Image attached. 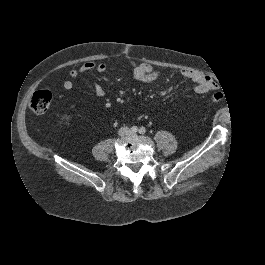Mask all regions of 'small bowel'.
<instances>
[{
	"label": "small bowel",
	"instance_id": "small-bowel-1",
	"mask_svg": "<svg viewBox=\"0 0 265 265\" xmlns=\"http://www.w3.org/2000/svg\"><path fill=\"white\" fill-rule=\"evenodd\" d=\"M130 65L133 70L134 78L141 83L153 82L161 76V73L154 70L149 64L131 62ZM106 70L107 64L105 62H86L80 67L70 70L69 76L71 79L64 81L63 88L68 91L71 90L74 86L72 80L77 79L81 74L91 71L104 73ZM181 75L195 83L193 91L197 94H205L217 89L216 83L210 77L200 72L186 69L181 72ZM93 89L97 97H104L105 91L99 83L93 82Z\"/></svg>",
	"mask_w": 265,
	"mask_h": 265
}]
</instances>
